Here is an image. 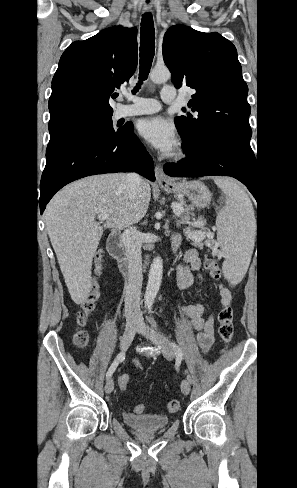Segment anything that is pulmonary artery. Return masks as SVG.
<instances>
[{
	"mask_svg": "<svg viewBox=\"0 0 297 488\" xmlns=\"http://www.w3.org/2000/svg\"><path fill=\"white\" fill-rule=\"evenodd\" d=\"M127 98L132 101L131 105L122 106L118 110L119 117H128L143 114H152L161 109V104L156 99L143 98L128 95ZM176 90L171 86H164L161 91V99L165 103L174 101Z\"/></svg>",
	"mask_w": 297,
	"mask_h": 488,
	"instance_id": "pulmonary-artery-1",
	"label": "pulmonary artery"
}]
</instances>
